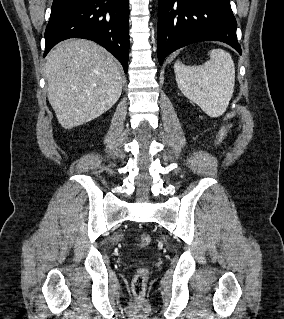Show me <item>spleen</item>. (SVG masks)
<instances>
[{
  "instance_id": "1",
  "label": "spleen",
  "mask_w": 284,
  "mask_h": 319,
  "mask_svg": "<svg viewBox=\"0 0 284 319\" xmlns=\"http://www.w3.org/2000/svg\"><path fill=\"white\" fill-rule=\"evenodd\" d=\"M210 59L199 66L174 65L176 82L181 92L208 116H221L233 95L235 66L229 53L222 49L208 52Z\"/></svg>"
}]
</instances>
